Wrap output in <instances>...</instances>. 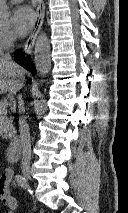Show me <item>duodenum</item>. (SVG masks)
<instances>
[{"label":"duodenum","instance_id":"410a0bca","mask_svg":"<svg viewBox=\"0 0 128 213\" xmlns=\"http://www.w3.org/2000/svg\"><path fill=\"white\" fill-rule=\"evenodd\" d=\"M21 151V141L17 134L10 137V144L6 150V158L9 162L17 159Z\"/></svg>","mask_w":128,"mask_h":213}]
</instances>
